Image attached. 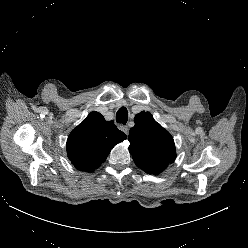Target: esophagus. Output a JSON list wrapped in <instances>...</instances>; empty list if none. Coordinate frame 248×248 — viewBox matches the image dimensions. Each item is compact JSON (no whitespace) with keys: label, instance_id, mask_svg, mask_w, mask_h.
Masks as SVG:
<instances>
[{"label":"esophagus","instance_id":"1","mask_svg":"<svg viewBox=\"0 0 248 248\" xmlns=\"http://www.w3.org/2000/svg\"><path fill=\"white\" fill-rule=\"evenodd\" d=\"M126 135H128V133H129V129H128V127L127 126H121V128H120Z\"/></svg>","mask_w":248,"mask_h":248}]
</instances>
